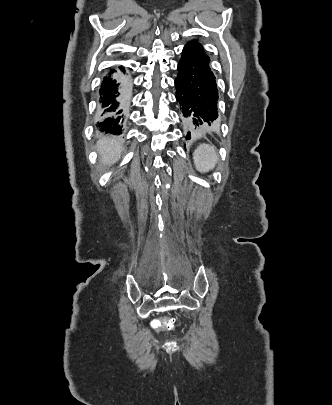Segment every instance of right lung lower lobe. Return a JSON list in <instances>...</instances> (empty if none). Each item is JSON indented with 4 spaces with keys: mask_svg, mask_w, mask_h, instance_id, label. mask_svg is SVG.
Segmentation results:
<instances>
[{
    "mask_svg": "<svg viewBox=\"0 0 332 405\" xmlns=\"http://www.w3.org/2000/svg\"><path fill=\"white\" fill-rule=\"evenodd\" d=\"M132 84L123 66L111 69L100 87V110L106 118L99 123L102 131L120 134L127 114Z\"/></svg>",
    "mask_w": 332,
    "mask_h": 405,
    "instance_id": "obj_1",
    "label": "right lung lower lobe"
}]
</instances>
